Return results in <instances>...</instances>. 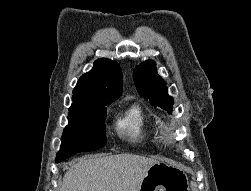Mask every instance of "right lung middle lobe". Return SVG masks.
<instances>
[{"instance_id": "dd1d6c3e", "label": "right lung middle lobe", "mask_w": 251, "mask_h": 191, "mask_svg": "<svg viewBox=\"0 0 251 191\" xmlns=\"http://www.w3.org/2000/svg\"><path fill=\"white\" fill-rule=\"evenodd\" d=\"M104 106H87L69 111V123L61 138L56 163L78 152L98 150L106 145Z\"/></svg>"}]
</instances>
